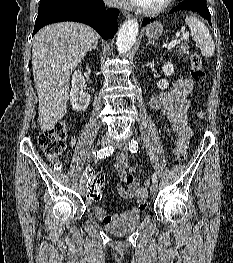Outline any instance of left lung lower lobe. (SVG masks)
Segmentation results:
<instances>
[{"label": "left lung lower lobe", "instance_id": "left-lung-lower-lobe-1", "mask_svg": "<svg viewBox=\"0 0 233 263\" xmlns=\"http://www.w3.org/2000/svg\"><path fill=\"white\" fill-rule=\"evenodd\" d=\"M180 10H190L199 13L203 18L208 20L209 24H211V15L208 10L207 4L206 3H201V2H195V1H181L180 5L177 7H174L171 12H176ZM154 19H144L143 26L148 24L149 22H152Z\"/></svg>", "mask_w": 233, "mask_h": 263}]
</instances>
